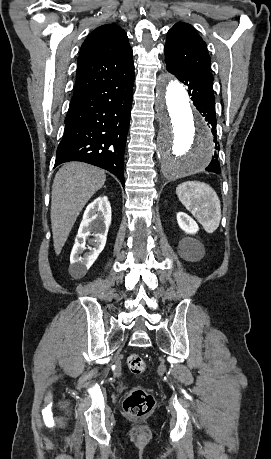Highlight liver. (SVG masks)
Masks as SVG:
<instances>
[{
	"mask_svg": "<svg viewBox=\"0 0 271 459\" xmlns=\"http://www.w3.org/2000/svg\"><path fill=\"white\" fill-rule=\"evenodd\" d=\"M105 180L104 170L83 162H67L58 170L51 198V226L56 255H59L82 208L104 186Z\"/></svg>",
	"mask_w": 271,
	"mask_h": 459,
	"instance_id": "6515ba94",
	"label": "liver"
}]
</instances>
